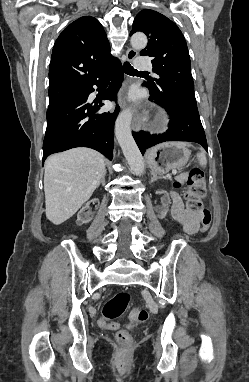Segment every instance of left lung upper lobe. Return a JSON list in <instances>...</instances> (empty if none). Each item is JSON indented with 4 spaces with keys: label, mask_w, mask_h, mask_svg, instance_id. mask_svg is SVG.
<instances>
[{
    "label": "left lung upper lobe",
    "mask_w": 249,
    "mask_h": 382,
    "mask_svg": "<svg viewBox=\"0 0 249 382\" xmlns=\"http://www.w3.org/2000/svg\"><path fill=\"white\" fill-rule=\"evenodd\" d=\"M141 31L149 37L140 55L152 57L153 70L159 78L145 82L150 94L167 105H187L197 108L190 56L183 34L164 15L151 10L140 11L130 33Z\"/></svg>",
    "instance_id": "left-lung-upper-lobe-1"
}]
</instances>
